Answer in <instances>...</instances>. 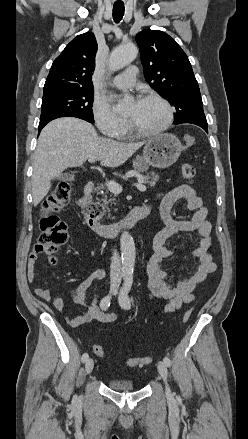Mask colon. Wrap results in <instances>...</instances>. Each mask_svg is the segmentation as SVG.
<instances>
[{
    "label": "colon",
    "mask_w": 248,
    "mask_h": 439,
    "mask_svg": "<svg viewBox=\"0 0 248 439\" xmlns=\"http://www.w3.org/2000/svg\"><path fill=\"white\" fill-rule=\"evenodd\" d=\"M196 174V168L190 163L182 166V176L191 182ZM73 185L70 181L60 182L48 196L42 207L40 219L41 234L34 247L38 254H52L60 246L66 243L68 232L66 224L55 214L63 208L70 200ZM53 261V260H52ZM192 310L188 309L183 315V322H187ZM93 351L100 357L105 356L104 349L99 345H93ZM152 357L129 358L125 364L129 367L144 366L152 362Z\"/></svg>",
    "instance_id": "1"
}]
</instances>
